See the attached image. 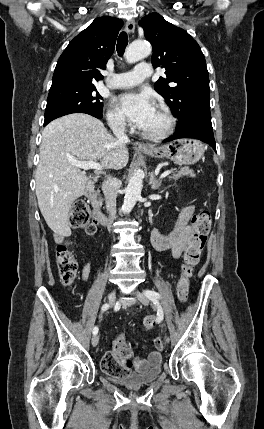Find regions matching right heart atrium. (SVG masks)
Returning <instances> with one entry per match:
<instances>
[{"instance_id": "d8ad5b80", "label": "right heart atrium", "mask_w": 264, "mask_h": 429, "mask_svg": "<svg viewBox=\"0 0 264 429\" xmlns=\"http://www.w3.org/2000/svg\"><path fill=\"white\" fill-rule=\"evenodd\" d=\"M107 121L110 128L118 132L125 131L128 126L125 118L113 107L107 112Z\"/></svg>"}]
</instances>
